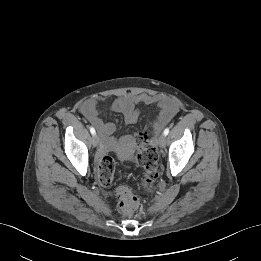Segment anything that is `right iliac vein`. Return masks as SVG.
<instances>
[{"instance_id": "63e3f726", "label": "right iliac vein", "mask_w": 261, "mask_h": 261, "mask_svg": "<svg viewBox=\"0 0 261 261\" xmlns=\"http://www.w3.org/2000/svg\"><path fill=\"white\" fill-rule=\"evenodd\" d=\"M92 144L94 147H97L99 145V137L98 135L94 134L92 136Z\"/></svg>"}]
</instances>
